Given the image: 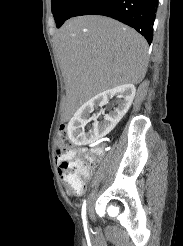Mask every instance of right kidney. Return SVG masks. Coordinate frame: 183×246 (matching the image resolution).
Wrapping results in <instances>:
<instances>
[{
	"instance_id": "right-kidney-1",
	"label": "right kidney",
	"mask_w": 183,
	"mask_h": 246,
	"mask_svg": "<svg viewBox=\"0 0 183 246\" xmlns=\"http://www.w3.org/2000/svg\"><path fill=\"white\" fill-rule=\"evenodd\" d=\"M135 92L136 88L133 84H123L99 93L84 103L68 123L67 133L70 140L76 145H86L106 136L127 113ZM114 96L117 97V107L109 114H105L102 122H97V116L94 114L91 117L94 120L92 129L88 133L83 132L82 128L88 122L90 113L98 106L106 105Z\"/></svg>"
}]
</instances>
